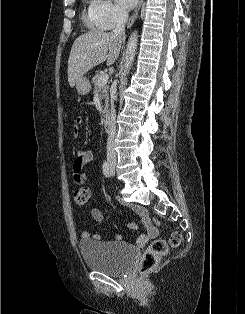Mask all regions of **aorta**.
<instances>
[{
  "mask_svg": "<svg viewBox=\"0 0 245 314\" xmlns=\"http://www.w3.org/2000/svg\"><path fill=\"white\" fill-rule=\"evenodd\" d=\"M138 45V33L134 31L128 39L124 69L128 73L134 61Z\"/></svg>",
  "mask_w": 245,
  "mask_h": 314,
  "instance_id": "762f6f07",
  "label": "aorta"
}]
</instances>
